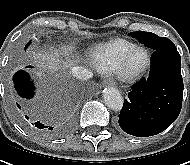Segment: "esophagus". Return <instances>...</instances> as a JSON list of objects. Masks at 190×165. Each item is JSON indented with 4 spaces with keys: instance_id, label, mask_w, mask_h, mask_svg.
Wrapping results in <instances>:
<instances>
[{
    "instance_id": "esophagus-1",
    "label": "esophagus",
    "mask_w": 190,
    "mask_h": 165,
    "mask_svg": "<svg viewBox=\"0 0 190 165\" xmlns=\"http://www.w3.org/2000/svg\"><path fill=\"white\" fill-rule=\"evenodd\" d=\"M114 84H115L114 81L111 80V79H106L104 81V85H107V86H111V85H114Z\"/></svg>"
}]
</instances>
